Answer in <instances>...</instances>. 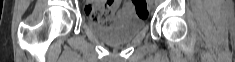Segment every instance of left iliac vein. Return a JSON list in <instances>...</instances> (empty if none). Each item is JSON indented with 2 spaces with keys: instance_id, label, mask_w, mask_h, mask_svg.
Masks as SVG:
<instances>
[{
  "instance_id": "1",
  "label": "left iliac vein",
  "mask_w": 235,
  "mask_h": 62,
  "mask_svg": "<svg viewBox=\"0 0 235 62\" xmlns=\"http://www.w3.org/2000/svg\"><path fill=\"white\" fill-rule=\"evenodd\" d=\"M150 6H152V0H151V2H150V4H149Z\"/></svg>"
}]
</instances>
